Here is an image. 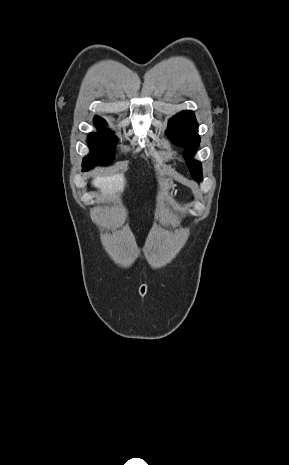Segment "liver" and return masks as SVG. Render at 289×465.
<instances>
[{"label":"liver","mask_w":289,"mask_h":465,"mask_svg":"<svg viewBox=\"0 0 289 465\" xmlns=\"http://www.w3.org/2000/svg\"><path fill=\"white\" fill-rule=\"evenodd\" d=\"M92 184L101 189L103 196L114 197L117 192H121L125 186V178L123 174H114L103 177H97L92 181Z\"/></svg>","instance_id":"6515ba94"}]
</instances>
